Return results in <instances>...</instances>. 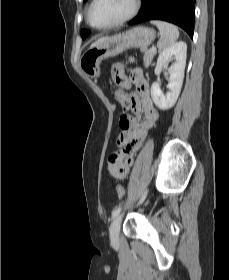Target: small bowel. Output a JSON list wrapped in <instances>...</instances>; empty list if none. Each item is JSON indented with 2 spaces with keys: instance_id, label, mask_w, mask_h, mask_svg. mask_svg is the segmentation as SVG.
<instances>
[{
  "instance_id": "1",
  "label": "small bowel",
  "mask_w": 229,
  "mask_h": 280,
  "mask_svg": "<svg viewBox=\"0 0 229 280\" xmlns=\"http://www.w3.org/2000/svg\"><path fill=\"white\" fill-rule=\"evenodd\" d=\"M111 75L113 80L122 87H129L131 80H129L124 72V67L116 65L112 68ZM133 82L136 90L128 96L123 90L113 92L114 98L119 101L125 109H131L134 115L143 114V120H137L135 116L131 117V125L127 129H123L117 138V143L120 147L128 146L131 150L130 159L132 160L133 153L141 145L143 138L147 131L153 127L159 119V111L154 107L150 95V85L148 80L140 74H136ZM127 101H123L124 97ZM110 174L118 179H125L126 173H116L110 171Z\"/></svg>"
}]
</instances>
